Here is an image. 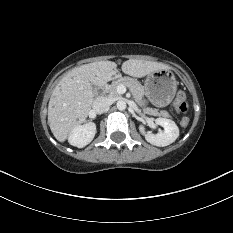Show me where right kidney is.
I'll use <instances>...</instances> for the list:
<instances>
[{"label": "right kidney", "mask_w": 233, "mask_h": 233, "mask_svg": "<svg viewBox=\"0 0 233 233\" xmlns=\"http://www.w3.org/2000/svg\"><path fill=\"white\" fill-rule=\"evenodd\" d=\"M96 134V125L94 122H88L76 127L69 135L68 141L71 145L83 148L88 145Z\"/></svg>", "instance_id": "1"}]
</instances>
